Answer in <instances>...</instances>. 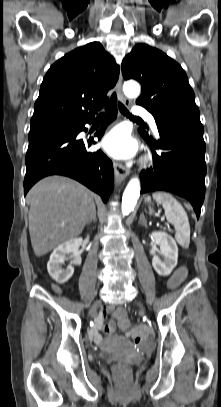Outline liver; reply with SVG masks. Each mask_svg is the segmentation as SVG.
<instances>
[{"label": "liver", "instance_id": "liver-1", "mask_svg": "<svg viewBox=\"0 0 221 407\" xmlns=\"http://www.w3.org/2000/svg\"><path fill=\"white\" fill-rule=\"evenodd\" d=\"M29 233L36 256L79 236L93 213V193L63 176H48L28 192Z\"/></svg>", "mask_w": 221, "mask_h": 407}]
</instances>
